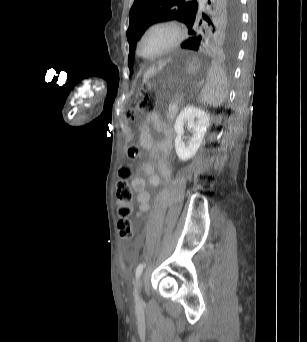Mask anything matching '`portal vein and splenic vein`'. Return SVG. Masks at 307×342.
I'll return each mask as SVG.
<instances>
[{
	"label": "portal vein and splenic vein",
	"mask_w": 307,
	"mask_h": 342,
	"mask_svg": "<svg viewBox=\"0 0 307 342\" xmlns=\"http://www.w3.org/2000/svg\"><path fill=\"white\" fill-rule=\"evenodd\" d=\"M193 93L192 92H190V91H186L185 92V98L183 99L185 102L187 101V100H191L189 97H190V95H192ZM187 98H189V99H187ZM185 103L183 102V101H181V103L179 104L180 106H183Z\"/></svg>",
	"instance_id": "1"
}]
</instances>
